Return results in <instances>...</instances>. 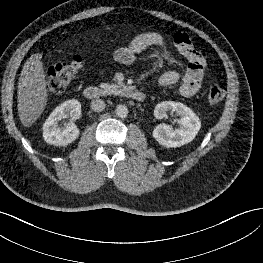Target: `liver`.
Instances as JSON below:
<instances>
[{
    "label": "liver",
    "mask_w": 263,
    "mask_h": 263,
    "mask_svg": "<svg viewBox=\"0 0 263 263\" xmlns=\"http://www.w3.org/2000/svg\"><path fill=\"white\" fill-rule=\"evenodd\" d=\"M42 55L32 54L23 66L18 81L17 108L21 123L31 126L42 114L47 104L46 75Z\"/></svg>",
    "instance_id": "liver-1"
}]
</instances>
